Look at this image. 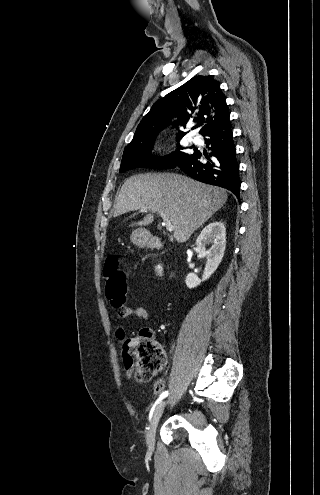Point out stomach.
I'll list each match as a JSON object with an SVG mask.
<instances>
[{"mask_svg": "<svg viewBox=\"0 0 320 495\" xmlns=\"http://www.w3.org/2000/svg\"><path fill=\"white\" fill-rule=\"evenodd\" d=\"M131 241L136 245H144L147 243L146 236L143 231L137 230L131 234Z\"/></svg>", "mask_w": 320, "mask_h": 495, "instance_id": "stomach-1", "label": "stomach"}]
</instances>
